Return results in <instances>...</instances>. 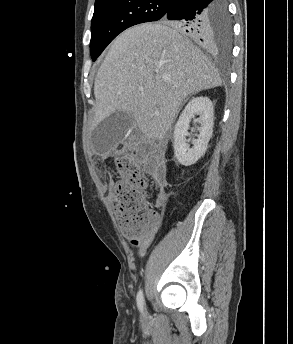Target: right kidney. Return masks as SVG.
Returning a JSON list of instances; mask_svg holds the SVG:
<instances>
[{
	"label": "right kidney",
	"instance_id": "right-kidney-1",
	"mask_svg": "<svg viewBox=\"0 0 293 344\" xmlns=\"http://www.w3.org/2000/svg\"><path fill=\"white\" fill-rule=\"evenodd\" d=\"M196 115H199V119H197L200 124L199 134L197 139L193 140V146L190 147L186 137L189 135V124ZM213 119V103L208 97L192 98L185 106L173 133L174 155L181 165L190 166L205 154L213 133Z\"/></svg>",
	"mask_w": 293,
	"mask_h": 344
}]
</instances>
